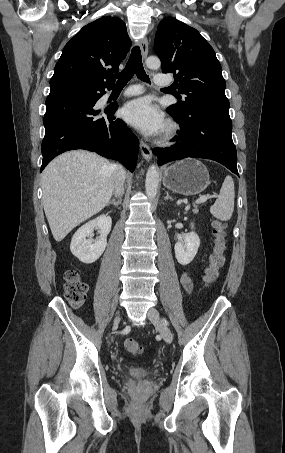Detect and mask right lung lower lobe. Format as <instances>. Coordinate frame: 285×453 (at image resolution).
Returning <instances> with one entry per match:
<instances>
[{
  "label": "right lung lower lobe",
  "mask_w": 285,
  "mask_h": 453,
  "mask_svg": "<svg viewBox=\"0 0 285 453\" xmlns=\"http://www.w3.org/2000/svg\"><path fill=\"white\" fill-rule=\"evenodd\" d=\"M105 93L79 86H56L50 89L44 115L45 136L40 172L57 155L75 149L96 152L120 161L133 171L136 166L138 139L126 124L113 115L118 105L95 110L94 105Z\"/></svg>",
  "instance_id": "obj_1"
}]
</instances>
